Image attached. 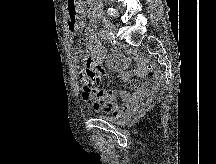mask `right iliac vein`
Here are the masks:
<instances>
[{"mask_svg":"<svg viewBox=\"0 0 216 164\" xmlns=\"http://www.w3.org/2000/svg\"><path fill=\"white\" fill-rule=\"evenodd\" d=\"M103 25H104L106 31L111 33V35L114 37L116 34L115 26L109 20H106V19H103Z\"/></svg>","mask_w":216,"mask_h":164,"instance_id":"obj_1","label":"right iliac vein"}]
</instances>
